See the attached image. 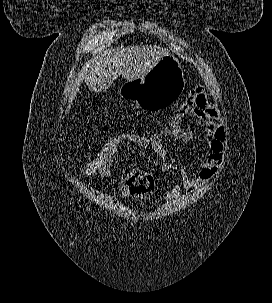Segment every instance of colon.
I'll list each match as a JSON object with an SVG mask.
<instances>
[{
    "instance_id": "1",
    "label": "colon",
    "mask_w": 272,
    "mask_h": 303,
    "mask_svg": "<svg viewBox=\"0 0 272 303\" xmlns=\"http://www.w3.org/2000/svg\"><path fill=\"white\" fill-rule=\"evenodd\" d=\"M174 125L170 120L152 133H127L114 136L97 151L90 159L81 163L76 174L79 177L88 179L101 176L114 170V161L117 155L129 146H135L139 140L145 139L149 142L162 141L163 138L170 136ZM154 189L153 177L147 173L141 172L138 183L130 196L142 198L149 195Z\"/></svg>"
}]
</instances>
